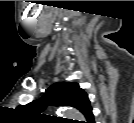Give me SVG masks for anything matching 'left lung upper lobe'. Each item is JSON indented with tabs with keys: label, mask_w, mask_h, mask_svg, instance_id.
I'll use <instances>...</instances> for the list:
<instances>
[{
	"label": "left lung upper lobe",
	"mask_w": 134,
	"mask_h": 123,
	"mask_svg": "<svg viewBox=\"0 0 134 123\" xmlns=\"http://www.w3.org/2000/svg\"><path fill=\"white\" fill-rule=\"evenodd\" d=\"M47 105L71 106L78 109L88 123L93 121V113L88 95L78 83L59 82L53 84L39 99L24 106V109L32 114L39 115Z\"/></svg>",
	"instance_id": "obj_1"
}]
</instances>
